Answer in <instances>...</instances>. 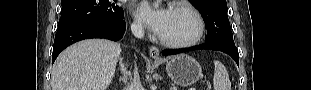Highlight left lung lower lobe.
Listing matches in <instances>:
<instances>
[{"instance_id": "left-lung-lower-lobe-1", "label": "left lung lower lobe", "mask_w": 311, "mask_h": 90, "mask_svg": "<svg viewBox=\"0 0 311 90\" xmlns=\"http://www.w3.org/2000/svg\"><path fill=\"white\" fill-rule=\"evenodd\" d=\"M215 50V51H222L224 53H227L230 55L236 63L239 65V54L238 50L235 46V44H228L224 42H205L201 45H196L190 48H184V49H166L162 51L163 55H172V54H179L187 51H193V50Z\"/></svg>"}]
</instances>
